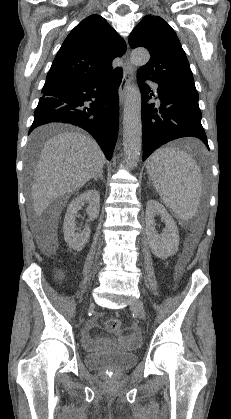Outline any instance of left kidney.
Returning a JSON list of instances; mask_svg holds the SVG:
<instances>
[{"mask_svg": "<svg viewBox=\"0 0 231 419\" xmlns=\"http://www.w3.org/2000/svg\"><path fill=\"white\" fill-rule=\"evenodd\" d=\"M161 216L166 225L165 233L159 235L155 231V216ZM146 234L152 253L161 259H167L177 253L179 246L178 227L162 204L149 200L145 212Z\"/></svg>", "mask_w": 231, "mask_h": 419, "instance_id": "left-kidney-1", "label": "left kidney"}]
</instances>
